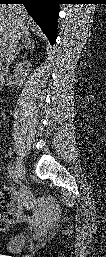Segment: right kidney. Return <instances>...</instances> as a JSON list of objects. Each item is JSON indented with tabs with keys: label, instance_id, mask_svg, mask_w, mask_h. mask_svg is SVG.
<instances>
[{
	"label": "right kidney",
	"instance_id": "obj_1",
	"mask_svg": "<svg viewBox=\"0 0 106 257\" xmlns=\"http://www.w3.org/2000/svg\"><path fill=\"white\" fill-rule=\"evenodd\" d=\"M31 66L29 61H23L20 62L16 65L14 72H15V77L19 80L20 84L25 80L27 77V68Z\"/></svg>",
	"mask_w": 106,
	"mask_h": 257
}]
</instances>
